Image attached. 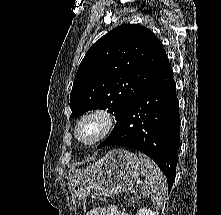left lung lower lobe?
Returning <instances> with one entry per match:
<instances>
[{
    "instance_id": "1",
    "label": "left lung lower lobe",
    "mask_w": 221,
    "mask_h": 215,
    "mask_svg": "<svg viewBox=\"0 0 221 215\" xmlns=\"http://www.w3.org/2000/svg\"><path fill=\"white\" fill-rule=\"evenodd\" d=\"M178 101L170 63L130 103L111 134L99 144L126 146L153 159L171 190L178 157Z\"/></svg>"
}]
</instances>
